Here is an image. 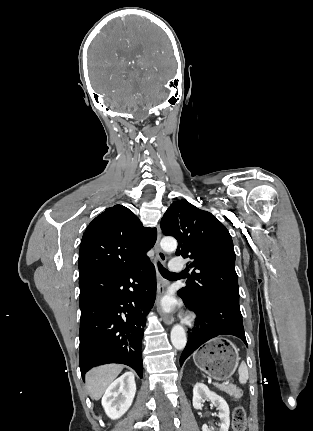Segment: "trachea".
Instances as JSON below:
<instances>
[{
  "instance_id": "trachea-1",
  "label": "trachea",
  "mask_w": 313,
  "mask_h": 431,
  "mask_svg": "<svg viewBox=\"0 0 313 431\" xmlns=\"http://www.w3.org/2000/svg\"><path fill=\"white\" fill-rule=\"evenodd\" d=\"M158 268H159V271L162 274V276L165 277V278H172V277H175V276L178 275L176 273L169 272L160 263H158Z\"/></svg>"
}]
</instances>
